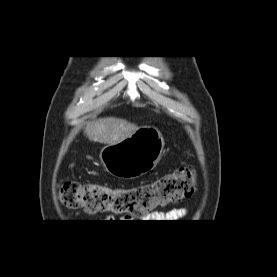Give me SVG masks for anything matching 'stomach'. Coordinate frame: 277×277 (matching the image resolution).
<instances>
[{
    "label": "stomach",
    "instance_id": "1",
    "mask_svg": "<svg viewBox=\"0 0 277 277\" xmlns=\"http://www.w3.org/2000/svg\"><path fill=\"white\" fill-rule=\"evenodd\" d=\"M164 145L160 130L145 126L121 142L106 145L99 157L104 169L111 175L134 179L156 167Z\"/></svg>",
    "mask_w": 277,
    "mask_h": 277
}]
</instances>
